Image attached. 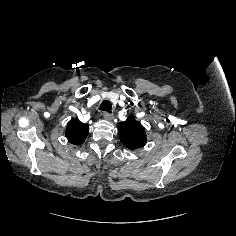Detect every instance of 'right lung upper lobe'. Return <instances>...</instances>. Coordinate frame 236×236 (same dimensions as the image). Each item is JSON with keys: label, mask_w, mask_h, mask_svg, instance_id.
Returning a JSON list of instances; mask_svg holds the SVG:
<instances>
[{"label": "right lung upper lobe", "mask_w": 236, "mask_h": 236, "mask_svg": "<svg viewBox=\"0 0 236 236\" xmlns=\"http://www.w3.org/2000/svg\"><path fill=\"white\" fill-rule=\"evenodd\" d=\"M88 131V124L72 118L67 125L65 135L70 143L79 145L85 141Z\"/></svg>", "instance_id": "1"}]
</instances>
